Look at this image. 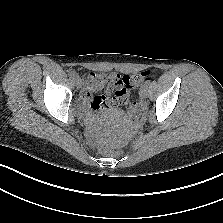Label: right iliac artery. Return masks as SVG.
I'll use <instances>...</instances> for the list:
<instances>
[{
	"label": "right iliac artery",
	"instance_id": "1",
	"mask_svg": "<svg viewBox=\"0 0 223 223\" xmlns=\"http://www.w3.org/2000/svg\"><path fill=\"white\" fill-rule=\"evenodd\" d=\"M69 76H70L71 78H75V77H76V73H75V72H70Z\"/></svg>",
	"mask_w": 223,
	"mask_h": 223
}]
</instances>
